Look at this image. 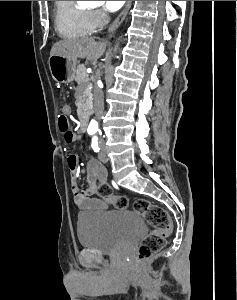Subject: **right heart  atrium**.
<instances>
[{
	"instance_id": "right-heart-atrium-1",
	"label": "right heart atrium",
	"mask_w": 237,
	"mask_h": 300,
	"mask_svg": "<svg viewBox=\"0 0 237 300\" xmlns=\"http://www.w3.org/2000/svg\"><path fill=\"white\" fill-rule=\"evenodd\" d=\"M106 21V16L103 12L95 10L90 12V28L94 30L101 26Z\"/></svg>"
}]
</instances>
